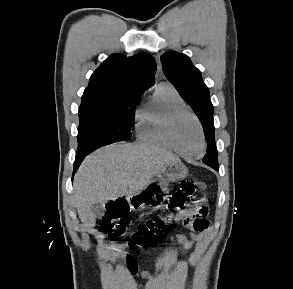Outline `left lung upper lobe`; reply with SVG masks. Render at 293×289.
Returning a JSON list of instances; mask_svg holds the SVG:
<instances>
[{"mask_svg": "<svg viewBox=\"0 0 293 289\" xmlns=\"http://www.w3.org/2000/svg\"><path fill=\"white\" fill-rule=\"evenodd\" d=\"M161 63L167 79L199 118L207 144H211L210 147H207L203 162L212 168L218 167L213 105L210 101L209 90L202 80L201 72L193 66L188 56L173 51L164 53L161 56Z\"/></svg>", "mask_w": 293, "mask_h": 289, "instance_id": "left-lung-upper-lobe-1", "label": "left lung upper lobe"}]
</instances>
